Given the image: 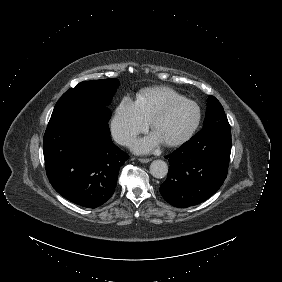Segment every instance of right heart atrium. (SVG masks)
I'll return each mask as SVG.
<instances>
[{"mask_svg": "<svg viewBox=\"0 0 282 282\" xmlns=\"http://www.w3.org/2000/svg\"><path fill=\"white\" fill-rule=\"evenodd\" d=\"M150 120L137 101L125 97L117 107L111 121L114 138L122 144H128L138 133L145 132Z\"/></svg>", "mask_w": 282, "mask_h": 282, "instance_id": "1", "label": "right heart atrium"}]
</instances>
